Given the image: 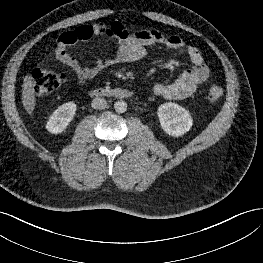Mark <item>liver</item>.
Masks as SVG:
<instances>
[{
  "label": "liver",
  "instance_id": "liver-1",
  "mask_svg": "<svg viewBox=\"0 0 263 263\" xmlns=\"http://www.w3.org/2000/svg\"><path fill=\"white\" fill-rule=\"evenodd\" d=\"M22 103L26 112L32 114L35 109L36 99L33 78L30 75L24 77V83L22 85Z\"/></svg>",
  "mask_w": 263,
  "mask_h": 263
}]
</instances>
